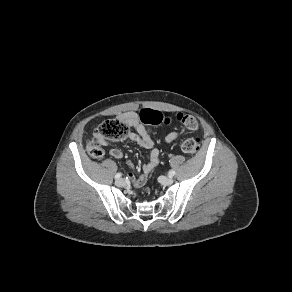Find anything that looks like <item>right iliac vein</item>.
<instances>
[{
	"label": "right iliac vein",
	"mask_w": 292,
	"mask_h": 292,
	"mask_svg": "<svg viewBox=\"0 0 292 292\" xmlns=\"http://www.w3.org/2000/svg\"><path fill=\"white\" fill-rule=\"evenodd\" d=\"M115 184L118 186V187H123L125 185V181L124 179L120 178V179H117L115 181Z\"/></svg>",
	"instance_id": "right-iliac-vein-1"
}]
</instances>
